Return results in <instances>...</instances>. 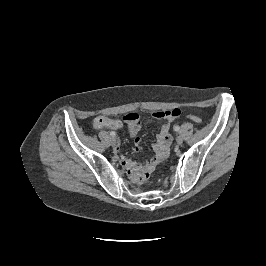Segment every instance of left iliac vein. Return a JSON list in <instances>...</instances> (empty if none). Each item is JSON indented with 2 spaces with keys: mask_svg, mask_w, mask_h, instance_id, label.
Here are the masks:
<instances>
[{
  "mask_svg": "<svg viewBox=\"0 0 266 266\" xmlns=\"http://www.w3.org/2000/svg\"><path fill=\"white\" fill-rule=\"evenodd\" d=\"M176 142L178 145H181L183 143V137L181 135L177 136Z\"/></svg>",
  "mask_w": 266,
  "mask_h": 266,
  "instance_id": "4c4485c4",
  "label": "left iliac vein"
}]
</instances>
